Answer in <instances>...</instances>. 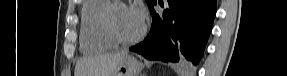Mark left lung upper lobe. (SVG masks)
<instances>
[{
    "instance_id": "1",
    "label": "left lung upper lobe",
    "mask_w": 287,
    "mask_h": 76,
    "mask_svg": "<svg viewBox=\"0 0 287 76\" xmlns=\"http://www.w3.org/2000/svg\"><path fill=\"white\" fill-rule=\"evenodd\" d=\"M148 6H149V9L153 6V4L156 3V0H146Z\"/></svg>"
}]
</instances>
